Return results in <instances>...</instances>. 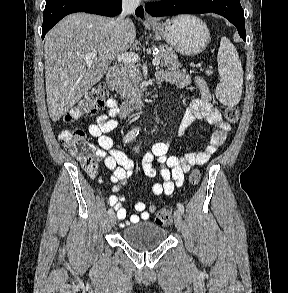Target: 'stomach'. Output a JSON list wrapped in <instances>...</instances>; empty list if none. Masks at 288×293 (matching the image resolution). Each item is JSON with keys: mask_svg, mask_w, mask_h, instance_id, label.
Wrapping results in <instances>:
<instances>
[{"mask_svg": "<svg viewBox=\"0 0 288 293\" xmlns=\"http://www.w3.org/2000/svg\"><path fill=\"white\" fill-rule=\"evenodd\" d=\"M150 27L178 53L187 56L202 52L210 41L207 25L193 15H180Z\"/></svg>", "mask_w": 288, "mask_h": 293, "instance_id": "stomach-1", "label": "stomach"}]
</instances>
